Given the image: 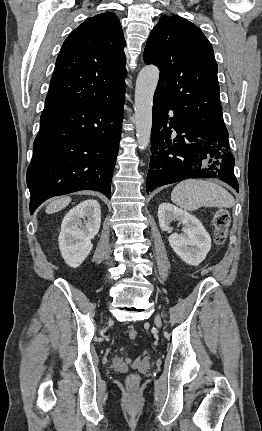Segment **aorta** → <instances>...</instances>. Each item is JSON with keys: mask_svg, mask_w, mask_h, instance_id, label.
<instances>
[{"mask_svg": "<svg viewBox=\"0 0 262 431\" xmlns=\"http://www.w3.org/2000/svg\"><path fill=\"white\" fill-rule=\"evenodd\" d=\"M159 69L154 65L141 69L135 87V126L139 148L145 150L150 142L153 97L159 80Z\"/></svg>", "mask_w": 262, "mask_h": 431, "instance_id": "1", "label": "aorta"}]
</instances>
